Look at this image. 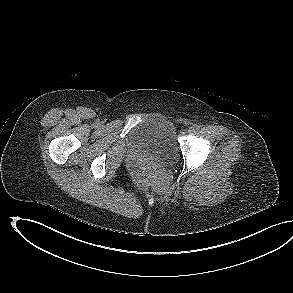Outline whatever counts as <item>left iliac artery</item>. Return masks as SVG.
Segmentation results:
<instances>
[{
  "instance_id": "44dca946",
  "label": "left iliac artery",
  "mask_w": 293,
  "mask_h": 293,
  "mask_svg": "<svg viewBox=\"0 0 293 293\" xmlns=\"http://www.w3.org/2000/svg\"><path fill=\"white\" fill-rule=\"evenodd\" d=\"M194 129L195 130H199L200 129V126L199 125H194Z\"/></svg>"
}]
</instances>
